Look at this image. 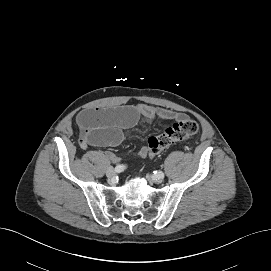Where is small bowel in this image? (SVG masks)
Returning a JSON list of instances; mask_svg holds the SVG:
<instances>
[{
    "instance_id": "c3829d8e",
    "label": "small bowel",
    "mask_w": 271,
    "mask_h": 271,
    "mask_svg": "<svg viewBox=\"0 0 271 271\" xmlns=\"http://www.w3.org/2000/svg\"><path fill=\"white\" fill-rule=\"evenodd\" d=\"M154 118L178 121L186 116L147 104L129 105L115 109L84 110L77 116V124L80 128L79 144L83 149L89 146H117L125 139V131L137 124L140 119ZM147 154L148 148L143 147L137 153V157L144 158ZM108 156L113 162L119 161V158L112 153H109Z\"/></svg>"
}]
</instances>
